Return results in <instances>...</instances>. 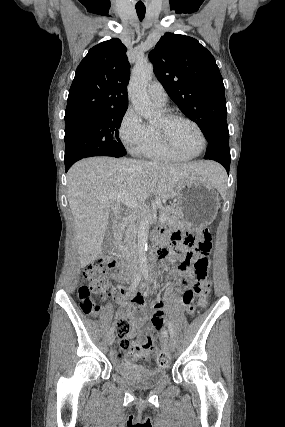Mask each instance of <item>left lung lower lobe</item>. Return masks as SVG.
Segmentation results:
<instances>
[{
    "mask_svg": "<svg viewBox=\"0 0 285 427\" xmlns=\"http://www.w3.org/2000/svg\"><path fill=\"white\" fill-rule=\"evenodd\" d=\"M207 141L208 147L204 159L219 162L229 173L231 161L229 150V132L211 135Z\"/></svg>",
    "mask_w": 285,
    "mask_h": 427,
    "instance_id": "1",
    "label": "left lung lower lobe"
}]
</instances>
